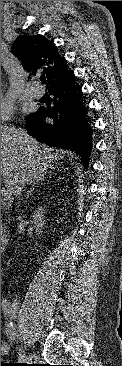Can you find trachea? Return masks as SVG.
<instances>
[{
    "label": "trachea",
    "mask_w": 122,
    "mask_h": 366,
    "mask_svg": "<svg viewBox=\"0 0 122 366\" xmlns=\"http://www.w3.org/2000/svg\"><path fill=\"white\" fill-rule=\"evenodd\" d=\"M40 80H41L42 83H45L46 77L45 76H41Z\"/></svg>",
    "instance_id": "3493384b"
}]
</instances>
